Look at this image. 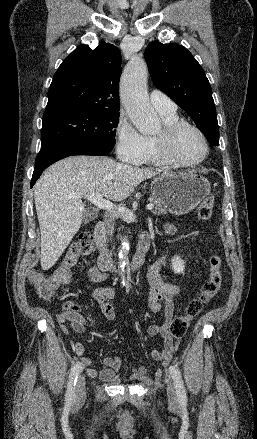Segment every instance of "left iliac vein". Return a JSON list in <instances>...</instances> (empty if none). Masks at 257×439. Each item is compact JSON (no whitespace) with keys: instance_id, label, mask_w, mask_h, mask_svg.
I'll list each match as a JSON object with an SVG mask.
<instances>
[{"instance_id":"obj_1","label":"left iliac vein","mask_w":257,"mask_h":439,"mask_svg":"<svg viewBox=\"0 0 257 439\" xmlns=\"http://www.w3.org/2000/svg\"><path fill=\"white\" fill-rule=\"evenodd\" d=\"M167 396L170 403L172 404L176 403L177 401L176 389L172 380H169L167 384Z\"/></svg>"}]
</instances>
